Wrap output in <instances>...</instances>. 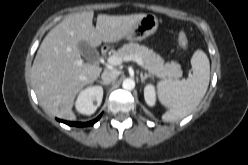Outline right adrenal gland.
<instances>
[{"instance_id": "right-adrenal-gland-1", "label": "right adrenal gland", "mask_w": 248, "mask_h": 165, "mask_svg": "<svg viewBox=\"0 0 248 165\" xmlns=\"http://www.w3.org/2000/svg\"><path fill=\"white\" fill-rule=\"evenodd\" d=\"M97 82H99L100 84L105 85V86H108V85H109V83L104 82V81H99V80H98Z\"/></svg>"}]
</instances>
